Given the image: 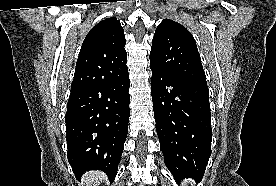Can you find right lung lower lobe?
I'll return each mask as SVG.
<instances>
[{"mask_svg": "<svg viewBox=\"0 0 276 186\" xmlns=\"http://www.w3.org/2000/svg\"><path fill=\"white\" fill-rule=\"evenodd\" d=\"M128 75L112 83L71 90L67 103L68 161L76 177L102 170L115 179L129 122Z\"/></svg>", "mask_w": 276, "mask_h": 186, "instance_id": "right-lung-lower-lobe-1", "label": "right lung lower lobe"}]
</instances>
